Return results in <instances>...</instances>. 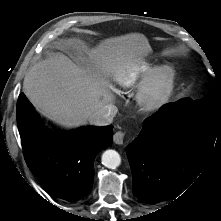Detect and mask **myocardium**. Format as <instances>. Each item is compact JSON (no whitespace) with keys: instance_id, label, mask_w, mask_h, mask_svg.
I'll use <instances>...</instances> for the list:
<instances>
[{"instance_id":"f54148a6","label":"myocardium","mask_w":221,"mask_h":221,"mask_svg":"<svg viewBox=\"0 0 221 221\" xmlns=\"http://www.w3.org/2000/svg\"><path fill=\"white\" fill-rule=\"evenodd\" d=\"M176 79V69L170 64L151 70L137 95L140 106L148 111L161 108L170 100L176 87Z\"/></svg>"}]
</instances>
